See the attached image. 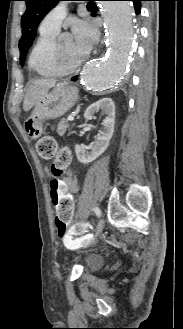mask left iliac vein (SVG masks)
<instances>
[{
  "mask_svg": "<svg viewBox=\"0 0 183 329\" xmlns=\"http://www.w3.org/2000/svg\"><path fill=\"white\" fill-rule=\"evenodd\" d=\"M103 228H104V220H103V218H101V219H99L98 224H97L96 236H98L102 232Z\"/></svg>",
  "mask_w": 183,
  "mask_h": 329,
  "instance_id": "4c4485c4",
  "label": "left iliac vein"
}]
</instances>
